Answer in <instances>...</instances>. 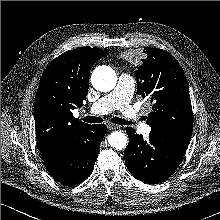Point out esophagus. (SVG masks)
I'll return each mask as SVG.
<instances>
[{
    "label": "esophagus",
    "instance_id": "1",
    "mask_svg": "<svg viewBox=\"0 0 220 220\" xmlns=\"http://www.w3.org/2000/svg\"><path fill=\"white\" fill-rule=\"evenodd\" d=\"M107 127H108L109 130H115V129L119 128L118 125L111 124V123L107 124Z\"/></svg>",
    "mask_w": 220,
    "mask_h": 220
}]
</instances>
